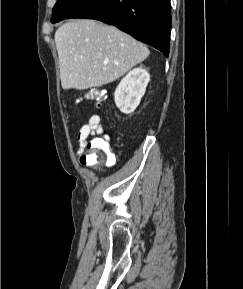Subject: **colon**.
I'll list each match as a JSON object with an SVG mask.
<instances>
[{
	"label": "colon",
	"mask_w": 243,
	"mask_h": 289,
	"mask_svg": "<svg viewBox=\"0 0 243 289\" xmlns=\"http://www.w3.org/2000/svg\"><path fill=\"white\" fill-rule=\"evenodd\" d=\"M84 98L90 101H95L97 106H100L105 99V92L99 89H90L84 94ZM79 101V100H78ZM88 152L81 158L83 165H112L115 161V156L111 151L108 143V137L96 138L90 141L87 145Z\"/></svg>",
	"instance_id": "colon-1"
}]
</instances>
